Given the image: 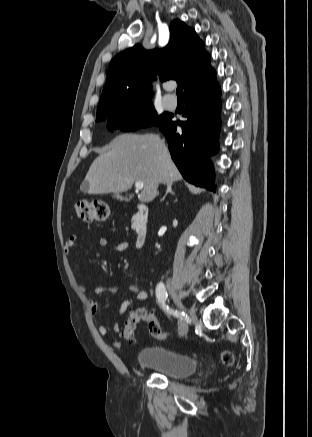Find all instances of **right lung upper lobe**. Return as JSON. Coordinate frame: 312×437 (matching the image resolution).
Wrapping results in <instances>:
<instances>
[{"instance_id": "cb5924a9", "label": "right lung upper lobe", "mask_w": 312, "mask_h": 437, "mask_svg": "<svg viewBox=\"0 0 312 437\" xmlns=\"http://www.w3.org/2000/svg\"><path fill=\"white\" fill-rule=\"evenodd\" d=\"M150 74H159L162 81L176 80L183 84L185 93L213 75L214 70L196 32L175 19L165 48L147 52L137 44L112 59L96 118L127 105L151 102V86L147 80Z\"/></svg>"}]
</instances>
